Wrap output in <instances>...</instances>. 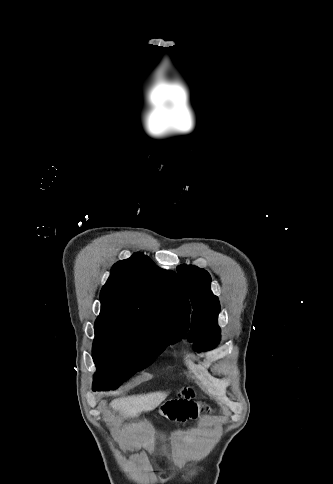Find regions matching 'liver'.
<instances>
[{
	"label": "liver",
	"instance_id": "1",
	"mask_svg": "<svg viewBox=\"0 0 333 484\" xmlns=\"http://www.w3.org/2000/svg\"><path fill=\"white\" fill-rule=\"evenodd\" d=\"M168 392H152L144 395L114 399L111 407L119 410L124 417H136L141 412H150L162 403Z\"/></svg>",
	"mask_w": 333,
	"mask_h": 484
}]
</instances>
